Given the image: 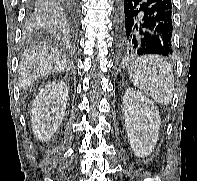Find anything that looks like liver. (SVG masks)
<instances>
[{
  "label": "liver",
  "instance_id": "1",
  "mask_svg": "<svg viewBox=\"0 0 197 181\" xmlns=\"http://www.w3.org/2000/svg\"><path fill=\"white\" fill-rule=\"evenodd\" d=\"M69 68L67 60L57 48L40 44L22 56L18 67L19 88L26 90L41 77L68 71Z\"/></svg>",
  "mask_w": 197,
  "mask_h": 181
}]
</instances>
